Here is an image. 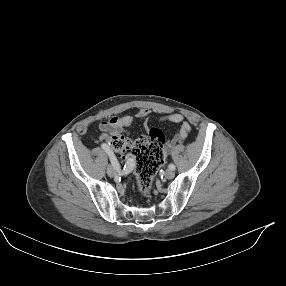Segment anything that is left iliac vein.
<instances>
[{
    "label": "left iliac vein",
    "mask_w": 286,
    "mask_h": 286,
    "mask_svg": "<svg viewBox=\"0 0 286 286\" xmlns=\"http://www.w3.org/2000/svg\"><path fill=\"white\" fill-rule=\"evenodd\" d=\"M164 176L167 179H172V178H174L175 173L173 172V170L168 169V170L165 171Z\"/></svg>",
    "instance_id": "left-iliac-vein-1"
}]
</instances>
